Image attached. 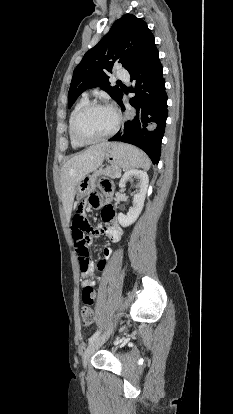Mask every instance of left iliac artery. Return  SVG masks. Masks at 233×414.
<instances>
[{
  "label": "left iliac artery",
  "instance_id": "1",
  "mask_svg": "<svg viewBox=\"0 0 233 414\" xmlns=\"http://www.w3.org/2000/svg\"><path fill=\"white\" fill-rule=\"evenodd\" d=\"M99 334H100V332H99V331L95 332V333H94V334H93V335L89 338L88 342H89V343H92L95 339H97V338H98Z\"/></svg>",
  "mask_w": 233,
  "mask_h": 414
}]
</instances>
